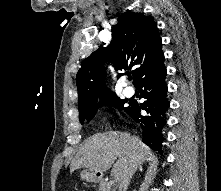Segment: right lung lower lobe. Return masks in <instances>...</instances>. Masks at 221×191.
Listing matches in <instances>:
<instances>
[{"instance_id": "obj_1", "label": "right lung lower lobe", "mask_w": 221, "mask_h": 191, "mask_svg": "<svg viewBox=\"0 0 221 191\" xmlns=\"http://www.w3.org/2000/svg\"><path fill=\"white\" fill-rule=\"evenodd\" d=\"M163 63L164 55L139 77L135 86L140 90L141 97L146 100L141 104L130 102L127 111L131 118L140 125L142 141L160 154H162L164 141L166 113L170 106L165 83L166 68ZM141 110L146 111L147 114L142 115Z\"/></svg>"}]
</instances>
